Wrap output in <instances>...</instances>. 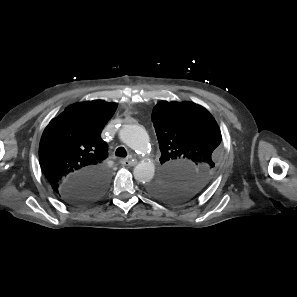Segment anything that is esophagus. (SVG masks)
Instances as JSON below:
<instances>
[{"instance_id": "34e87169", "label": "esophagus", "mask_w": 297, "mask_h": 297, "mask_svg": "<svg viewBox=\"0 0 297 297\" xmlns=\"http://www.w3.org/2000/svg\"><path fill=\"white\" fill-rule=\"evenodd\" d=\"M120 163L124 166H134L136 165V162L129 159H121Z\"/></svg>"}]
</instances>
